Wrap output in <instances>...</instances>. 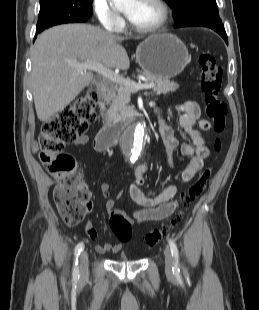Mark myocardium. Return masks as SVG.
<instances>
[{
    "label": "myocardium",
    "instance_id": "f54148a6",
    "mask_svg": "<svg viewBox=\"0 0 259 310\" xmlns=\"http://www.w3.org/2000/svg\"><path fill=\"white\" fill-rule=\"evenodd\" d=\"M153 1L161 9V19L159 20L158 23H156L155 25L151 27H139V26L134 25L128 18L129 27L133 31L140 33V34H151V33L160 31L167 25L169 18H170V10H169L167 3L164 0H153Z\"/></svg>",
    "mask_w": 259,
    "mask_h": 310
}]
</instances>
